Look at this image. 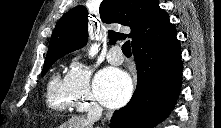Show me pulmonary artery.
<instances>
[{"mask_svg":"<svg viewBox=\"0 0 221 128\" xmlns=\"http://www.w3.org/2000/svg\"><path fill=\"white\" fill-rule=\"evenodd\" d=\"M107 61L114 66H119L123 63L124 57L122 55L120 47L113 46L109 50V52L107 53Z\"/></svg>","mask_w":221,"mask_h":128,"instance_id":"1","label":"pulmonary artery"}]
</instances>
